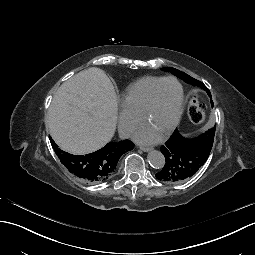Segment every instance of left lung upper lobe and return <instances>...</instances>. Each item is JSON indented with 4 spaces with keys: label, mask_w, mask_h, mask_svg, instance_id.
Here are the masks:
<instances>
[{
    "label": "left lung upper lobe",
    "mask_w": 255,
    "mask_h": 255,
    "mask_svg": "<svg viewBox=\"0 0 255 255\" xmlns=\"http://www.w3.org/2000/svg\"><path fill=\"white\" fill-rule=\"evenodd\" d=\"M162 70L164 71H167V72H171L172 74H174L175 76L179 77L180 79L184 80L185 82L187 83H190L192 85H196V86H199L201 87L202 89H204L208 95L210 96L211 98V93L210 91L208 90V88L200 81L192 78L191 76L187 75L186 73L184 72H181L175 68H170V67H166V68H162ZM211 104H212V107L214 106L213 104V101L211 100ZM215 129H216V126L214 128H211L209 129L207 132H205L204 134L202 135H206L209 140H210V147L212 148V145H213V141H214V135H215ZM174 133H176L177 135L179 134L178 131H174ZM186 140V139H185ZM164 155V154H163ZM165 156V155H164ZM207 160V159H206ZM203 164H200V167L202 166ZM177 183V182H176Z\"/></svg>",
    "instance_id": "1"
}]
</instances>
